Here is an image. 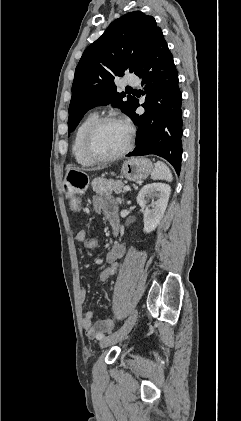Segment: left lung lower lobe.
Wrapping results in <instances>:
<instances>
[{
  "instance_id": "0a47b994",
  "label": "left lung lower lobe",
  "mask_w": 241,
  "mask_h": 421,
  "mask_svg": "<svg viewBox=\"0 0 241 421\" xmlns=\"http://www.w3.org/2000/svg\"><path fill=\"white\" fill-rule=\"evenodd\" d=\"M137 76L144 85L145 108L143 115L135 113L139 106L136 99L131 119L138 126L136 147L127 156L155 154L168 160L180 173L182 155V97L178 86V73L173 56L160 31ZM153 112V114H152ZM154 116V123L151 121Z\"/></svg>"
}]
</instances>
